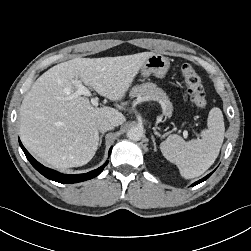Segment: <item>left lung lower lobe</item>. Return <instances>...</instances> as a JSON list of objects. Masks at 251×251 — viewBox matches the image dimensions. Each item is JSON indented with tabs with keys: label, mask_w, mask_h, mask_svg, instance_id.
Segmentation results:
<instances>
[{
	"label": "left lung lower lobe",
	"mask_w": 251,
	"mask_h": 251,
	"mask_svg": "<svg viewBox=\"0 0 251 251\" xmlns=\"http://www.w3.org/2000/svg\"><path fill=\"white\" fill-rule=\"evenodd\" d=\"M212 173H213V172H212ZM212 173H210L209 175H207V176H205L204 178L200 179L199 181L195 182V183L193 184V186H195V185H197V184H199V183L205 181L207 178L210 177V175H211Z\"/></svg>",
	"instance_id": "0a47b994"
}]
</instances>
